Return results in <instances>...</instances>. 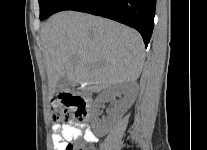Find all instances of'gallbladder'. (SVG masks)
<instances>
[{
    "label": "gallbladder",
    "mask_w": 207,
    "mask_h": 150,
    "mask_svg": "<svg viewBox=\"0 0 207 150\" xmlns=\"http://www.w3.org/2000/svg\"><path fill=\"white\" fill-rule=\"evenodd\" d=\"M69 86V81L67 79V76L64 75L57 83L56 85V92H60L63 90H66Z\"/></svg>",
    "instance_id": "obj_1"
}]
</instances>
